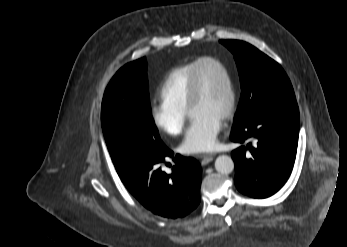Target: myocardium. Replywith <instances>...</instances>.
I'll return each mask as SVG.
<instances>
[{
    "instance_id": "1",
    "label": "myocardium",
    "mask_w": 347,
    "mask_h": 247,
    "mask_svg": "<svg viewBox=\"0 0 347 247\" xmlns=\"http://www.w3.org/2000/svg\"><path fill=\"white\" fill-rule=\"evenodd\" d=\"M205 63H210L219 67L226 77L227 84H228V91H229V101H228V105L222 119L229 120L235 112L236 102H237V93H236L234 79L231 74V71L226 66V64L220 59L211 57V56L199 58L192 71L189 87H188L187 110L188 112H190V109L198 101L200 97L201 89H200L198 71L200 66Z\"/></svg>"
}]
</instances>
